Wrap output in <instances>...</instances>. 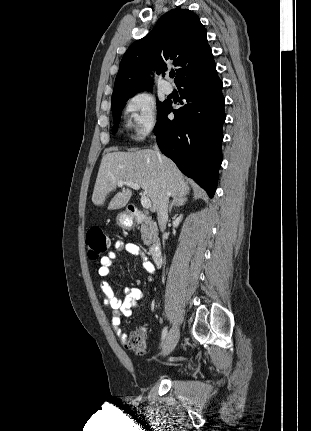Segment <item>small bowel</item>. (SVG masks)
I'll return each instance as SVG.
<instances>
[{
    "instance_id": "obj_1",
    "label": "small bowel",
    "mask_w": 311,
    "mask_h": 431,
    "mask_svg": "<svg viewBox=\"0 0 311 431\" xmlns=\"http://www.w3.org/2000/svg\"><path fill=\"white\" fill-rule=\"evenodd\" d=\"M115 250L117 252L126 251L132 255L139 256L142 267L150 274L154 272V266L149 259L141 253L138 245L135 243L125 242L119 240L115 243ZM116 260V253L110 252L100 260V267L98 269L99 276L106 279L110 275V268ZM100 288L104 295V303L106 306L113 310L112 325L115 332L120 337L123 343L126 342V335L120 329L121 316L129 317L132 315L134 309L138 308L139 302L144 298V292L139 288H124L122 290V298L115 295L110 284L104 280L100 284Z\"/></svg>"
}]
</instances>
